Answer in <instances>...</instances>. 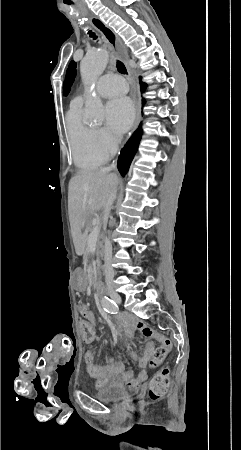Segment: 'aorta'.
Wrapping results in <instances>:
<instances>
[{"mask_svg":"<svg viewBox=\"0 0 241 450\" xmlns=\"http://www.w3.org/2000/svg\"><path fill=\"white\" fill-rule=\"evenodd\" d=\"M108 63L106 50L98 49L89 53L80 64L81 78L84 84L94 83L103 73ZM85 117L90 123H101L104 119V106L99 97L91 95L85 103Z\"/></svg>","mask_w":241,"mask_h":450,"instance_id":"762f6f07","label":"aorta"}]
</instances>
